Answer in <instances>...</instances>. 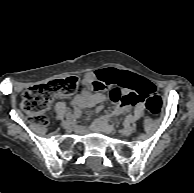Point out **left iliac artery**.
<instances>
[{"instance_id": "left-iliac-artery-1", "label": "left iliac artery", "mask_w": 194, "mask_h": 193, "mask_svg": "<svg viewBox=\"0 0 194 193\" xmlns=\"http://www.w3.org/2000/svg\"><path fill=\"white\" fill-rule=\"evenodd\" d=\"M132 120H133V117L131 115L126 117V121L127 122H132Z\"/></svg>"}]
</instances>
